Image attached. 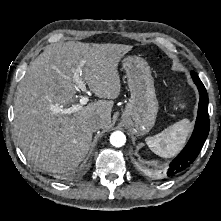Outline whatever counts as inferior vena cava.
Returning a JSON list of instances; mask_svg holds the SVG:
<instances>
[{"mask_svg": "<svg viewBox=\"0 0 221 221\" xmlns=\"http://www.w3.org/2000/svg\"><path fill=\"white\" fill-rule=\"evenodd\" d=\"M102 126V121L99 118L91 119L88 122V127L92 132L99 130Z\"/></svg>", "mask_w": 221, "mask_h": 221, "instance_id": "obj_1", "label": "inferior vena cava"}]
</instances>
